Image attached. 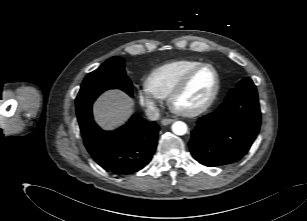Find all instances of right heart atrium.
<instances>
[{
  "label": "right heart atrium",
  "mask_w": 307,
  "mask_h": 221,
  "mask_svg": "<svg viewBox=\"0 0 307 221\" xmlns=\"http://www.w3.org/2000/svg\"><path fill=\"white\" fill-rule=\"evenodd\" d=\"M139 103L148 111L153 112L157 107V100L146 89H139L135 93Z\"/></svg>",
  "instance_id": "1"
}]
</instances>
